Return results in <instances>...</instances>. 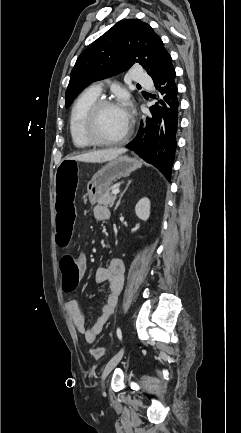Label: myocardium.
Masks as SVG:
<instances>
[{
  "instance_id": "myocardium-1",
  "label": "myocardium",
  "mask_w": 241,
  "mask_h": 433,
  "mask_svg": "<svg viewBox=\"0 0 241 433\" xmlns=\"http://www.w3.org/2000/svg\"><path fill=\"white\" fill-rule=\"evenodd\" d=\"M117 105L118 104L112 99H98L88 110L84 119L83 129L85 136L92 144L99 146L117 145L129 138L131 134V125L129 122L124 133L118 138L105 139L97 133L96 126L101 111L106 107Z\"/></svg>"
}]
</instances>
